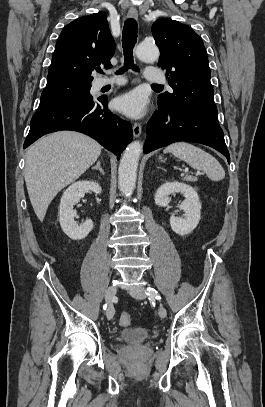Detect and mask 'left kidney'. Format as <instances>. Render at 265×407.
Here are the masks:
<instances>
[{
  "label": "left kidney",
  "instance_id": "1",
  "mask_svg": "<svg viewBox=\"0 0 265 407\" xmlns=\"http://www.w3.org/2000/svg\"><path fill=\"white\" fill-rule=\"evenodd\" d=\"M172 193H181L185 200L179 206L185 214L183 217L171 215V229L178 235L184 236L190 234L198 225L201 217V203L196 190L178 181L165 182L155 193V203L158 206L166 207L170 201L169 196Z\"/></svg>",
  "mask_w": 265,
  "mask_h": 407
}]
</instances>
